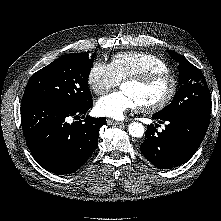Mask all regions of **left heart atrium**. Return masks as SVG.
<instances>
[{"label": "left heart atrium", "mask_w": 221, "mask_h": 221, "mask_svg": "<svg viewBox=\"0 0 221 221\" xmlns=\"http://www.w3.org/2000/svg\"><path fill=\"white\" fill-rule=\"evenodd\" d=\"M137 108L138 104L135 99L123 90L100 98L95 106L99 115L117 120L123 119L129 111Z\"/></svg>", "instance_id": "1"}]
</instances>
